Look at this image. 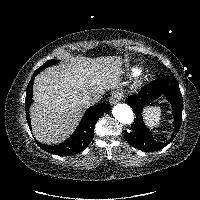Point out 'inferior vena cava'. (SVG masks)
<instances>
[{"label":"inferior vena cava","instance_id":"602c4592","mask_svg":"<svg viewBox=\"0 0 200 200\" xmlns=\"http://www.w3.org/2000/svg\"><path fill=\"white\" fill-rule=\"evenodd\" d=\"M98 100H99V96H97V95H87V94H85L82 97L81 102H82L83 105L89 106L91 104L96 103Z\"/></svg>","mask_w":200,"mask_h":200}]
</instances>
